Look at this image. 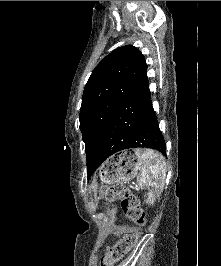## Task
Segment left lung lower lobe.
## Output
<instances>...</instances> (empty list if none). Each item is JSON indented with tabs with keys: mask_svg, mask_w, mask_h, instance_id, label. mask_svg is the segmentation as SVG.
<instances>
[{
	"mask_svg": "<svg viewBox=\"0 0 221 266\" xmlns=\"http://www.w3.org/2000/svg\"><path fill=\"white\" fill-rule=\"evenodd\" d=\"M138 147L152 148L166 155V144L152 106L148 79L129 94L116 112L87 166L88 179L111 155Z\"/></svg>",
	"mask_w": 221,
	"mask_h": 266,
	"instance_id": "0a47b994",
	"label": "left lung lower lobe"
}]
</instances>
